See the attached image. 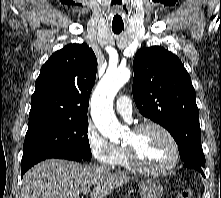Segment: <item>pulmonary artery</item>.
I'll list each match as a JSON object with an SVG mask.
<instances>
[{"mask_svg": "<svg viewBox=\"0 0 221 198\" xmlns=\"http://www.w3.org/2000/svg\"><path fill=\"white\" fill-rule=\"evenodd\" d=\"M116 109L118 113L123 116L126 120L131 119L132 115V104L131 100L127 96H120L116 101Z\"/></svg>", "mask_w": 221, "mask_h": 198, "instance_id": "1", "label": "pulmonary artery"}]
</instances>
